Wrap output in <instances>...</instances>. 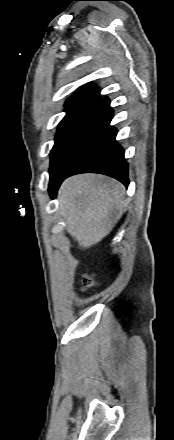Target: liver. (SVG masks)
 Listing matches in <instances>:
<instances>
[{
	"mask_svg": "<svg viewBox=\"0 0 174 440\" xmlns=\"http://www.w3.org/2000/svg\"><path fill=\"white\" fill-rule=\"evenodd\" d=\"M58 201L67 232L82 248H89L106 237L127 205L125 187L100 174L67 178L58 191Z\"/></svg>",
	"mask_w": 174,
	"mask_h": 440,
	"instance_id": "6515ba94",
	"label": "liver"
}]
</instances>
